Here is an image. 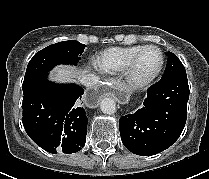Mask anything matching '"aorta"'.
Instances as JSON below:
<instances>
[{
  "label": "aorta",
  "instance_id": "1",
  "mask_svg": "<svg viewBox=\"0 0 209 179\" xmlns=\"http://www.w3.org/2000/svg\"><path fill=\"white\" fill-rule=\"evenodd\" d=\"M100 107L103 113L105 114H113L116 111V104L113 99L111 98H104L101 103Z\"/></svg>",
  "mask_w": 209,
  "mask_h": 179
}]
</instances>
